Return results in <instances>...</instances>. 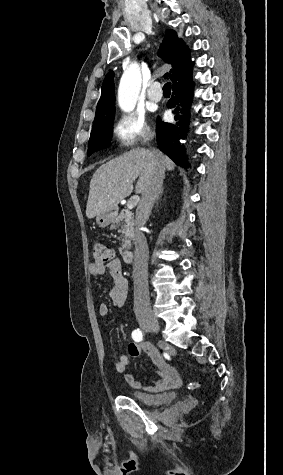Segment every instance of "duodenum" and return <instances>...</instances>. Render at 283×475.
<instances>
[{
  "label": "duodenum",
  "instance_id": "duodenum-1",
  "mask_svg": "<svg viewBox=\"0 0 283 475\" xmlns=\"http://www.w3.org/2000/svg\"><path fill=\"white\" fill-rule=\"evenodd\" d=\"M122 259L125 263H131L133 260V252L131 250H124L122 253Z\"/></svg>",
  "mask_w": 283,
  "mask_h": 475
}]
</instances>
